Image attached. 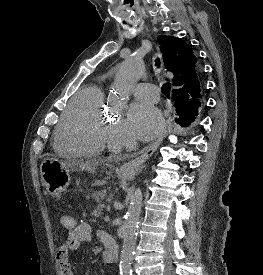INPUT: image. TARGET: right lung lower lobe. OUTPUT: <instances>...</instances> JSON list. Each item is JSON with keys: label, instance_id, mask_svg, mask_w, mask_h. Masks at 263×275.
Wrapping results in <instances>:
<instances>
[{"label": "right lung lower lobe", "instance_id": "1", "mask_svg": "<svg viewBox=\"0 0 263 275\" xmlns=\"http://www.w3.org/2000/svg\"><path fill=\"white\" fill-rule=\"evenodd\" d=\"M194 77L200 80L201 72L199 67L194 71ZM173 101L175 102L176 111L179 115V118L176 122L181 126H188L191 122L194 121L195 117L198 115L197 113H187L184 109V101L186 98L185 91L183 90H173Z\"/></svg>", "mask_w": 263, "mask_h": 275}]
</instances>
